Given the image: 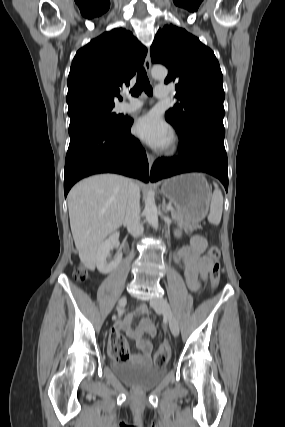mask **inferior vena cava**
<instances>
[{
	"label": "inferior vena cava",
	"instance_id": "inferior-vena-cava-1",
	"mask_svg": "<svg viewBox=\"0 0 285 427\" xmlns=\"http://www.w3.org/2000/svg\"><path fill=\"white\" fill-rule=\"evenodd\" d=\"M124 224L133 237H138L143 233L144 229L140 223V189L139 186L132 181H130L128 188Z\"/></svg>",
	"mask_w": 285,
	"mask_h": 427
}]
</instances>
